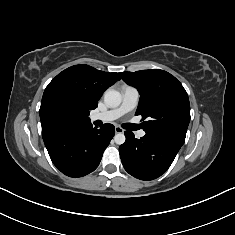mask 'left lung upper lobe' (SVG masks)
Returning <instances> with one entry per match:
<instances>
[{
  "mask_svg": "<svg viewBox=\"0 0 235 235\" xmlns=\"http://www.w3.org/2000/svg\"><path fill=\"white\" fill-rule=\"evenodd\" d=\"M121 78L140 93L135 115H142L146 134L165 137L183 145L190 121V103L182 84L160 69L121 72Z\"/></svg>",
  "mask_w": 235,
  "mask_h": 235,
  "instance_id": "5c2ea615",
  "label": "left lung upper lobe"
}]
</instances>
